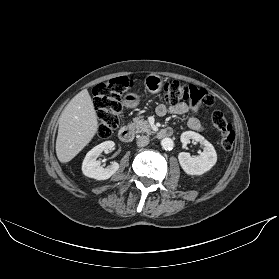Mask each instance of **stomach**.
I'll list each match as a JSON object with an SVG mask.
<instances>
[{
  "instance_id": "obj_1",
  "label": "stomach",
  "mask_w": 279,
  "mask_h": 279,
  "mask_svg": "<svg viewBox=\"0 0 279 279\" xmlns=\"http://www.w3.org/2000/svg\"><path fill=\"white\" fill-rule=\"evenodd\" d=\"M144 84L147 90L152 93H158L162 89L163 79L156 73H151L144 79ZM125 105L129 108H135L139 105L140 96L135 93H128L124 97Z\"/></svg>"
}]
</instances>
